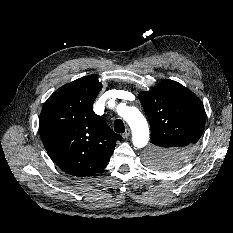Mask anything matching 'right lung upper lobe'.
Here are the masks:
<instances>
[{"instance_id": "obj_1", "label": "right lung upper lobe", "mask_w": 233, "mask_h": 233, "mask_svg": "<svg viewBox=\"0 0 233 233\" xmlns=\"http://www.w3.org/2000/svg\"><path fill=\"white\" fill-rule=\"evenodd\" d=\"M101 83L91 76L56 90L45 102L39 132L45 149L66 173L84 177L104 168L121 136L94 113Z\"/></svg>"}]
</instances>
